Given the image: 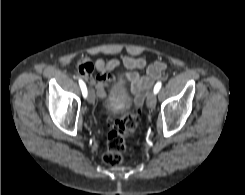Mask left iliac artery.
<instances>
[{
    "label": "left iliac artery",
    "mask_w": 245,
    "mask_h": 195,
    "mask_svg": "<svg viewBox=\"0 0 245 195\" xmlns=\"http://www.w3.org/2000/svg\"><path fill=\"white\" fill-rule=\"evenodd\" d=\"M162 83L157 82L156 85L154 86V93L157 94L159 90L161 89Z\"/></svg>",
    "instance_id": "44dca946"
}]
</instances>
